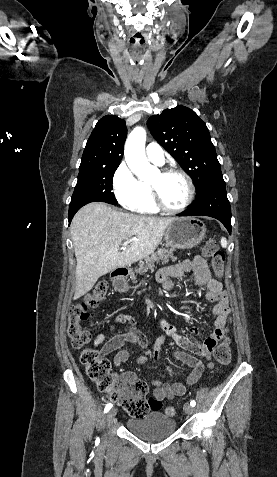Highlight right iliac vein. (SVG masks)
<instances>
[{"mask_svg":"<svg viewBox=\"0 0 277 477\" xmlns=\"http://www.w3.org/2000/svg\"><path fill=\"white\" fill-rule=\"evenodd\" d=\"M116 413H117L116 409H112L111 411L108 412L106 416V421L108 426H110L113 420L115 419Z\"/></svg>","mask_w":277,"mask_h":477,"instance_id":"1","label":"right iliac vein"}]
</instances>
